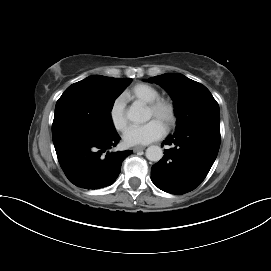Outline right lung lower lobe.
Returning <instances> with one entry per match:
<instances>
[{"mask_svg": "<svg viewBox=\"0 0 271 271\" xmlns=\"http://www.w3.org/2000/svg\"><path fill=\"white\" fill-rule=\"evenodd\" d=\"M119 140L116 130L94 128L68 133L53 143L69 181L80 188L99 189L116 180L122 161L132 153L109 152Z\"/></svg>", "mask_w": 271, "mask_h": 271, "instance_id": "98d812e1", "label": "right lung lower lobe"}]
</instances>
